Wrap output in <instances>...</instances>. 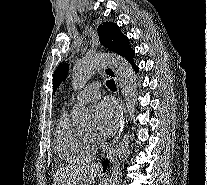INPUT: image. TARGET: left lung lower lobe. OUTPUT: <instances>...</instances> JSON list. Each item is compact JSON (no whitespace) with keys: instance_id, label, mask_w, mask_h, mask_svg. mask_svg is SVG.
I'll use <instances>...</instances> for the list:
<instances>
[{"instance_id":"1","label":"left lung lower lobe","mask_w":207,"mask_h":185,"mask_svg":"<svg viewBox=\"0 0 207 185\" xmlns=\"http://www.w3.org/2000/svg\"><path fill=\"white\" fill-rule=\"evenodd\" d=\"M134 70L138 72L139 68L137 66H133Z\"/></svg>"}]
</instances>
